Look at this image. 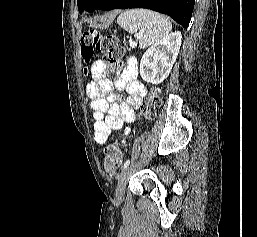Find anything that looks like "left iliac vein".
<instances>
[{"label":"left iliac vein","instance_id":"left-iliac-vein-1","mask_svg":"<svg viewBox=\"0 0 257 237\" xmlns=\"http://www.w3.org/2000/svg\"><path fill=\"white\" fill-rule=\"evenodd\" d=\"M132 172V166H128L124 171L120 174L118 178L117 188H116V200L122 201L125 194V188L129 177Z\"/></svg>","mask_w":257,"mask_h":237}]
</instances>
